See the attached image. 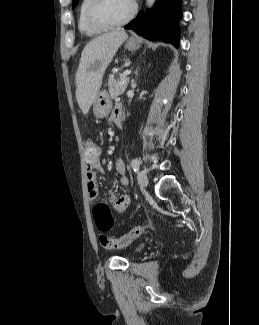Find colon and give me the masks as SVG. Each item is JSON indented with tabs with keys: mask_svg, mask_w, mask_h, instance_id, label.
Segmentation results:
<instances>
[{
	"mask_svg": "<svg viewBox=\"0 0 259 325\" xmlns=\"http://www.w3.org/2000/svg\"><path fill=\"white\" fill-rule=\"evenodd\" d=\"M84 155L86 159L93 160L98 156V146L92 140L83 142ZM93 215L97 227L102 232L108 231L113 225V217L110 208L105 203H98L93 209ZM145 230V225H136L129 232L118 238L110 237L105 234L100 235L99 240L103 248L112 250L124 248L133 240L140 237Z\"/></svg>",
	"mask_w": 259,
	"mask_h": 325,
	"instance_id": "1",
	"label": "colon"
}]
</instances>
